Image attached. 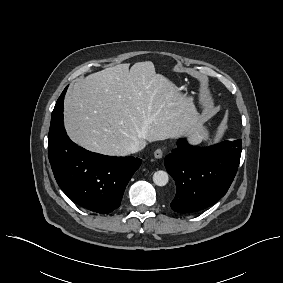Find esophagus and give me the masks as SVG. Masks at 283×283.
<instances>
[{
  "label": "esophagus",
  "mask_w": 283,
  "mask_h": 283,
  "mask_svg": "<svg viewBox=\"0 0 283 283\" xmlns=\"http://www.w3.org/2000/svg\"><path fill=\"white\" fill-rule=\"evenodd\" d=\"M162 156H163V150H162V149H157V150H155V152H154V157H155L156 159H160V158H162Z\"/></svg>",
  "instance_id": "esophagus-1"
}]
</instances>
